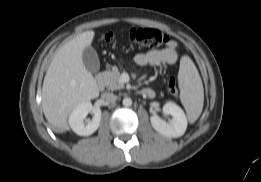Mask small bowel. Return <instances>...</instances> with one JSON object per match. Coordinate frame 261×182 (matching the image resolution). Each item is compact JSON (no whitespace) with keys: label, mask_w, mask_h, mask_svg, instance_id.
<instances>
[{"label":"small bowel","mask_w":261,"mask_h":182,"mask_svg":"<svg viewBox=\"0 0 261 182\" xmlns=\"http://www.w3.org/2000/svg\"><path fill=\"white\" fill-rule=\"evenodd\" d=\"M177 44L175 41H169L161 49L149 50L138 53L134 61L139 66H158L162 64L174 65L178 62Z\"/></svg>","instance_id":"1"}]
</instances>
